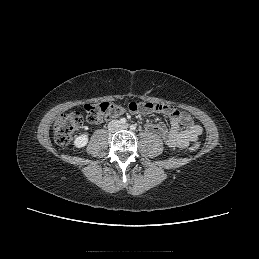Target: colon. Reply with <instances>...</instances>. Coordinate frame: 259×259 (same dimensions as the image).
<instances>
[{
    "label": "colon",
    "mask_w": 259,
    "mask_h": 259,
    "mask_svg": "<svg viewBox=\"0 0 259 259\" xmlns=\"http://www.w3.org/2000/svg\"><path fill=\"white\" fill-rule=\"evenodd\" d=\"M129 109V108H128ZM86 118L90 123L99 124L104 120L118 117L125 112V108L110 103L86 104L84 106ZM129 111H131L129 109ZM135 112V111H131ZM83 125V116L77 112L61 114L54 123V138L57 144L65 146L70 143L74 133ZM199 143L194 142L189 149L195 152L199 149Z\"/></svg>",
    "instance_id": "5ec220e1"
}]
</instances>
